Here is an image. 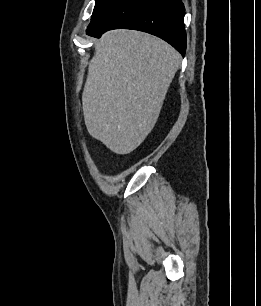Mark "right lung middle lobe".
I'll return each instance as SVG.
<instances>
[{
	"instance_id": "1",
	"label": "right lung middle lobe",
	"mask_w": 261,
	"mask_h": 306,
	"mask_svg": "<svg viewBox=\"0 0 261 306\" xmlns=\"http://www.w3.org/2000/svg\"><path fill=\"white\" fill-rule=\"evenodd\" d=\"M111 1L112 0H96L91 21H93Z\"/></svg>"
}]
</instances>
